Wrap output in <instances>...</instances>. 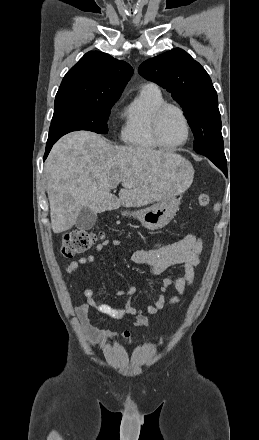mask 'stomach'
<instances>
[{"instance_id":"1","label":"stomach","mask_w":259,"mask_h":440,"mask_svg":"<svg viewBox=\"0 0 259 440\" xmlns=\"http://www.w3.org/2000/svg\"><path fill=\"white\" fill-rule=\"evenodd\" d=\"M180 205L175 196L165 198L156 204L137 211H123L125 217L137 219L148 230H159L170 223Z\"/></svg>"}]
</instances>
